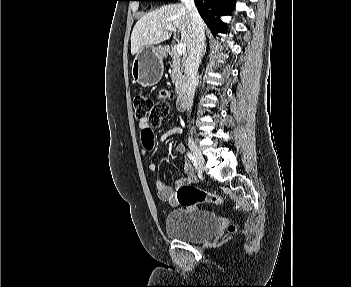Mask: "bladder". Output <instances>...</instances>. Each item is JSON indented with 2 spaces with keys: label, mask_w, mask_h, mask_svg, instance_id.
<instances>
[{
  "label": "bladder",
  "mask_w": 351,
  "mask_h": 287,
  "mask_svg": "<svg viewBox=\"0 0 351 287\" xmlns=\"http://www.w3.org/2000/svg\"><path fill=\"white\" fill-rule=\"evenodd\" d=\"M219 228L217 215L209 210L176 209L168 213L166 234L187 242H202L214 236Z\"/></svg>",
  "instance_id": "bladder-1"
}]
</instances>
